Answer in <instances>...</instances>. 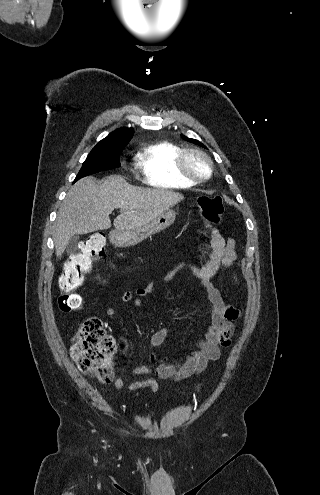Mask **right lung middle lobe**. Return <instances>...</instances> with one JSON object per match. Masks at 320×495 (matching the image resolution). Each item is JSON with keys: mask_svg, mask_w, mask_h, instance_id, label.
<instances>
[{"mask_svg": "<svg viewBox=\"0 0 320 495\" xmlns=\"http://www.w3.org/2000/svg\"><path fill=\"white\" fill-rule=\"evenodd\" d=\"M124 147H94L84 161L74 182L78 179L120 166L119 157Z\"/></svg>", "mask_w": 320, "mask_h": 495, "instance_id": "dd1d6c3e", "label": "right lung middle lobe"}]
</instances>
